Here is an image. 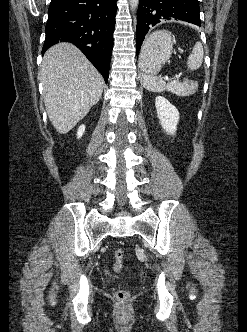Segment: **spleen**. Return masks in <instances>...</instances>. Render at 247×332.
<instances>
[{
    "mask_svg": "<svg viewBox=\"0 0 247 332\" xmlns=\"http://www.w3.org/2000/svg\"><path fill=\"white\" fill-rule=\"evenodd\" d=\"M204 52L203 47L200 42H197L191 54L188 56L187 67L189 70L193 71L198 69L203 61ZM143 86L151 92H163L169 91L177 96H187L192 93V90L189 88L187 81L174 80L169 83H166L162 78L143 75L142 77Z\"/></svg>",
    "mask_w": 247,
    "mask_h": 332,
    "instance_id": "spleen-1",
    "label": "spleen"
}]
</instances>
